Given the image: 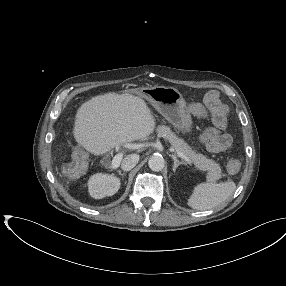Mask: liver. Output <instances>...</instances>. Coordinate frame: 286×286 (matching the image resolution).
Segmentation results:
<instances>
[{
	"instance_id": "6515ba94",
	"label": "liver",
	"mask_w": 286,
	"mask_h": 286,
	"mask_svg": "<svg viewBox=\"0 0 286 286\" xmlns=\"http://www.w3.org/2000/svg\"><path fill=\"white\" fill-rule=\"evenodd\" d=\"M155 125V118L142 98L108 92L79 107L73 136L88 152L103 155L123 143L146 140Z\"/></svg>"
}]
</instances>
